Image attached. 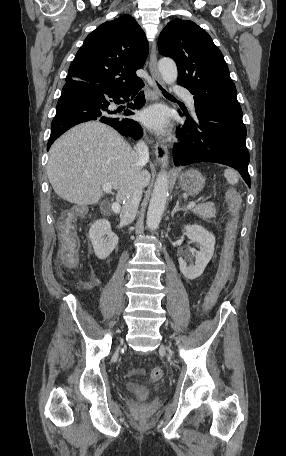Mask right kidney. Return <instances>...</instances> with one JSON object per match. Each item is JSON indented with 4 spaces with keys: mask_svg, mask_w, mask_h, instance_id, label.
Returning a JSON list of instances; mask_svg holds the SVG:
<instances>
[{
    "mask_svg": "<svg viewBox=\"0 0 286 456\" xmlns=\"http://www.w3.org/2000/svg\"><path fill=\"white\" fill-rule=\"evenodd\" d=\"M88 237L95 255L101 260L106 259L118 244V236L112 232L111 225L106 219L91 224Z\"/></svg>",
    "mask_w": 286,
    "mask_h": 456,
    "instance_id": "obj_1",
    "label": "right kidney"
}]
</instances>
